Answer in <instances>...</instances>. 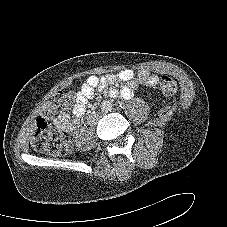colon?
Segmentation results:
<instances>
[{"label": "colon", "mask_w": 227, "mask_h": 227, "mask_svg": "<svg viewBox=\"0 0 227 227\" xmlns=\"http://www.w3.org/2000/svg\"><path fill=\"white\" fill-rule=\"evenodd\" d=\"M159 88L166 96L174 95L177 83L170 76L158 78ZM73 101L71 92L59 91L42 106L41 114L36 118L35 129L32 136V147L41 153L52 156H63L70 152V140L65 134H58L50 126L48 120L60 108H68Z\"/></svg>", "instance_id": "5ec220e1"}]
</instances>
